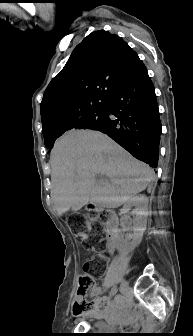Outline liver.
I'll return each mask as SVG.
<instances>
[{
    "mask_svg": "<svg viewBox=\"0 0 193 336\" xmlns=\"http://www.w3.org/2000/svg\"><path fill=\"white\" fill-rule=\"evenodd\" d=\"M50 164L59 216L88 203L117 208L154 179V171L147 164L98 131H74L60 139L51 152ZM97 175L109 180L98 181Z\"/></svg>",
    "mask_w": 193,
    "mask_h": 336,
    "instance_id": "obj_1",
    "label": "liver"
}]
</instances>
